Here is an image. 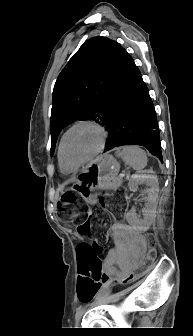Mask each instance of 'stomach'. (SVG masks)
<instances>
[{"label": "stomach", "instance_id": "obj_1", "mask_svg": "<svg viewBox=\"0 0 193 336\" xmlns=\"http://www.w3.org/2000/svg\"><path fill=\"white\" fill-rule=\"evenodd\" d=\"M119 163L105 154L91 162L77 176L72 189L78 192L87 204L96 203V191L110 188V183L119 172Z\"/></svg>", "mask_w": 193, "mask_h": 336}]
</instances>
